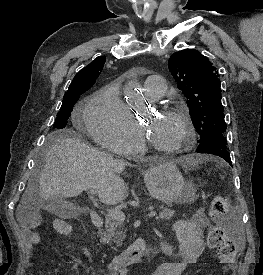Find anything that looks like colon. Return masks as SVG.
I'll return each mask as SVG.
<instances>
[{"label": "colon", "mask_w": 263, "mask_h": 275, "mask_svg": "<svg viewBox=\"0 0 263 275\" xmlns=\"http://www.w3.org/2000/svg\"><path fill=\"white\" fill-rule=\"evenodd\" d=\"M229 210V200L225 195H216L211 200L210 214L214 219H223L226 217ZM56 231L64 236L72 234V227L64 221H56ZM208 244L216 249L217 256L221 263L227 269H231L236 260L237 245L229 238L224 231L219 228H213L208 235Z\"/></svg>", "instance_id": "5ec220e1"}]
</instances>
